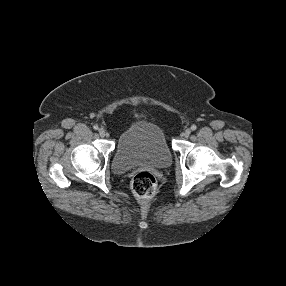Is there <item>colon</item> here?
<instances>
[{"label":"colon","mask_w":286,"mask_h":286,"mask_svg":"<svg viewBox=\"0 0 286 286\" xmlns=\"http://www.w3.org/2000/svg\"><path fill=\"white\" fill-rule=\"evenodd\" d=\"M131 188L137 197L149 199L156 192L157 182L150 172L143 171L134 176Z\"/></svg>","instance_id":"colon-1"}]
</instances>
